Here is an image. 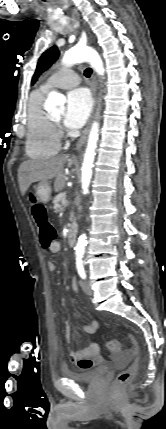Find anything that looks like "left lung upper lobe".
<instances>
[{
  "mask_svg": "<svg viewBox=\"0 0 166 429\" xmlns=\"http://www.w3.org/2000/svg\"><path fill=\"white\" fill-rule=\"evenodd\" d=\"M60 52L56 46H53L46 50L42 56L39 58L36 71L33 75L31 83L34 84L38 77L47 69L51 67V65L57 60Z\"/></svg>",
  "mask_w": 166,
  "mask_h": 429,
  "instance_id": "5c2ea615",
  "label": "left lung upper lobe"
}]
</instances>
